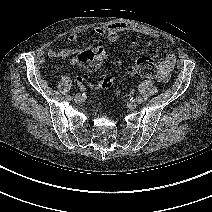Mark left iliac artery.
<instances>
[{
    "label": "left iliac artery",
    "mask_w": 212,
    "mask_h": 212,
    "mask_svg": "<svg viewBox=\"0 0 212 212\" xmlns=\"http://www.w3.org/2000/svg\"><path fill=\"white\" fill-rule=\"evenodd\" d=\"M136 101L141 104L143 102V99L140 96L136 97Z\"/></svg>",
    "instance_id": "obj_1"
}]
</instances>
